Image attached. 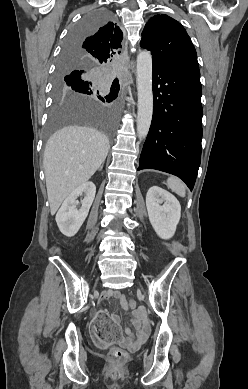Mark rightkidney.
<instances>
[{"label":"right kidney","instance_id":"right-kidney-1","mask_svg":"<svg viewBox=\"0 0 248 389\" xmlns=\"http://www.w3.org/2000/svg\"><path fill=\"white\" fill-rule=\"evenodd\" d=\"M83 193L85 197L81 201L82 206L80 209H77V198ZM95 193L96 187L94 183L86 182L68 195L56 214V223L62 234L72 237L79 231L89 213Z\"/></svg>","mask_w":248,"mask_h":389}]
</instances>
